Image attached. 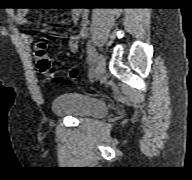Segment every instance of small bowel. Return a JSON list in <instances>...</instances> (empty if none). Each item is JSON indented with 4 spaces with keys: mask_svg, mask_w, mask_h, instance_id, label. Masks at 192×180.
Wrapping results in <instances>:
<instances>
[{
    "mask_svg": "<svg viewBox=\"0 0 192 180\" xmlns=\"http://www.w3.org/2000/svg\"><path fill=\"white\" fill-rule=\"evenodd\" d=\"M26 14H27V12L25 9L18 10L15 15L16 23H18L20 25L26 24L27 23ZM71 19H72V23L75 26H78L77 32L73 33L69 37V43H68L69 50L72 53H75L78 50L80 40L86 38L89 33L88 13L85 10H81L79 8H74L71 11ZM21 40L24 44H26L28 46H30L33 42L32 36L28 33H22Z\"/></svg>",
    "mask_w": 192,
    "mask_h": 180,
    "instance_id": "1",
    "label": "small bowel"
}]
</instances>
